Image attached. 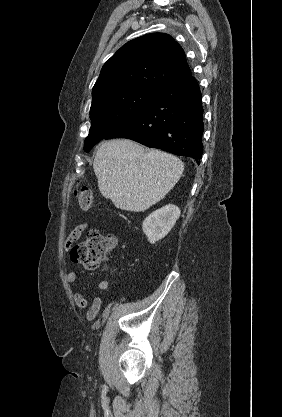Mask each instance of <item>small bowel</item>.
Instances as JSON below:
<instances>
[{
  "label": "small bowel",
  "instance_id": "1",
  "mask_svg": "<svg viewBox=\"0 0 282 417\" xmlns=\"http://www.w3.org/2000/svg\"><path fill=\"white\" fill-rule=\"evenodd\" d=\"M88 227V223H81L76 225L65 240V250L70 249L73 243L76 242L82 236V234L88 229ZM103 237L109 249H113L117 245V238L114 235L107 233ZM66 279L68 282L74 283L77 280V271L69 270L66 273ZM109 286L110 283L107 279H102L99 281L97 287L98 294L94 297L92 303L90 304L86 312V318L88 321L94 320L98 315L102 305L101 295L109 289ZM73 300L75 305L79 308H85L88 305L86 298L81 293H74Z\"/></svg>",
  "mask_w": 282,
  "mask_h": 417
}]
</instances>
